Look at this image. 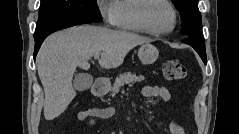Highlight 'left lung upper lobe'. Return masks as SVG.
Wrapping results in <instances>:
<instances>
[{"mask_svg":"<svg viewBox=\"0 0 239 134\" xmlns=\"http://www.w3.org/2000/svg\"><path fill=\"white\" fill-rule=\"evenodd\" d=\"M182 19V33L191 38L203 39L201 35V13L198 0H172Z\"/></svg>","mask_w":239,"mask_h":134,"instance_id":"1","label":"left lung upper lobe"}]
</instances>
